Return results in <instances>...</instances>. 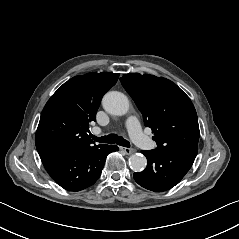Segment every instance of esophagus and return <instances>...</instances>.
<instances>
[{"instance_id": "34e87169", "label": "esophagus", "mask_w": 239, "mask_h": 239, "mask_svg": "<svg viewBox=\"0 0 239 239\" xmlns=\"http://www.w3.org/2000/svg\"><path fill=\"white\" fill-rule=\"evenodd\" d=\"M120 150L124 151L127 155L134 153V149L131 148L120 147Z\"/></svg>"}]
</instances>
